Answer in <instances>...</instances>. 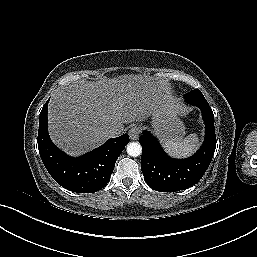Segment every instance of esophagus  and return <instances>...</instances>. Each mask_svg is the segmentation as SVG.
I'll use <instances>...</instances> for the list:
<instances>
[{
  "label": "esophagus",
  "instance_id": "34e87169",
  "mask_svg": "<svg viewBox=\"0 0 257 257\" xmlns=\"http://www.w3.org/2000/svg\"><path fill=\"white\" fill-rule=\"evenodd\" d=\"M140 134V128L137 125H133L129 130V137L131 140H137Z\"/></svg>",
  "mask_w": 257,
  "mask_h": 257
}]
</instances>
